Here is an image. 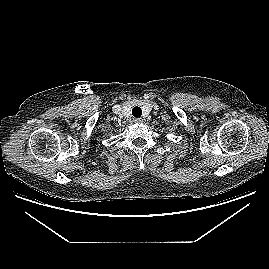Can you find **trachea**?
Wrapping results in <instances>:
<instances>
[{"label": "trachea", "instance_id": "trachea-1", "mask_svg": "<svg viewBox=\"0 0 269 269\" xmlns=\"http://www.w3.org/2000/svg\"><path fill=\"white\" fill-rule=\"evenodd\" d=\"M132 115L134 117H140L142 115V109L139 107V106H135L133 109H132Z\"/></svg>", "mask_w": 269, "mask_h": 269}]
</instances>
